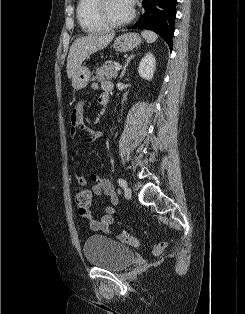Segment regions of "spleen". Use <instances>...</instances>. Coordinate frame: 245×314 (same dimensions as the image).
Returning <instances> with one entry per match:
<instances>
[{
    "mask_svg": "<svg viewBox=\"0 0 245 314\" xmlns=\"http://www.w3.org/2000/svg\"><path fill=\"white\" fill-rule=\"evenodd\" d=\"M141 35L148 43H153L158 38L156 33L149 30H143Z\"/></svg>",
    "mask_w": 245,
    "mask_h": 314,
    "instance_id": "1",
    "label": "spleen"
}]
</instances>
